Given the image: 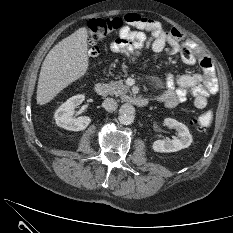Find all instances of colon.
Listing matches in <instances>:
<instances>
[{"mask_svg":"<svg viewBox=\"0 0 233 233\" xmlns=\"http://www.w3.org/2000/svg\"><path fill=\"white\" fill-rule=\"evenodd\" d=\"M122 24V19L118 17L90 20L88 23L90 55L96 56L98 54V42L120 29ZM212 121L213 112L206 111L193 120L192 126L197 130H205L211 125Z\"/></svg>","mask_w":233,"mask_h":233,"instance_id":"5ec220e1","label":"colon"}]
</instances>
